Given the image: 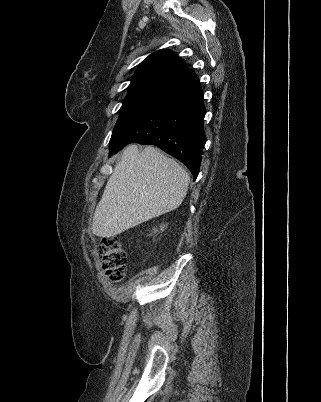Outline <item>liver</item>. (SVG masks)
<instances>
[{"mask_svg": "<svg viewBox=\"0 0 321 402\" xmlns=\"http://www.w3.org/2000/svg\"><path fill=\"white\" fill-rule=\"evenodd\" d=\"M189 182L184 168L157 148L128 146L96 207L93 234L113 237L176 209L186 196Z\"/></svg>", "mask_w": 321, "mask_h": 402, "instance_id": "obj_1", "label": "liver"}]
</instances>
